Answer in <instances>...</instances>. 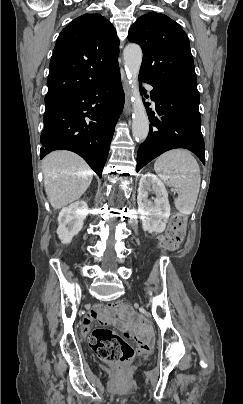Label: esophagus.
Instances as JSON below:
<instances>
[{
	"mask_svg": "<svg viewBox=\"0 0 243 404\" xmlns=\"http://www.w3.org/2000/svg\"><path fill=\"white\" fill-rule=\"evenodd\" d=\"M123 88L125 92V108H124V113L125 114H130L132 110V103H131V89L128 84V80L126 77L123 79Z\"/></svg>",
	"mask_w": 243,
	"mask_h": 404,
	"instance_id": "esophagus-1",
	"label": "esophagus"
}]
</instances>
